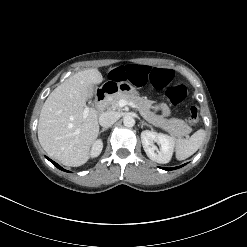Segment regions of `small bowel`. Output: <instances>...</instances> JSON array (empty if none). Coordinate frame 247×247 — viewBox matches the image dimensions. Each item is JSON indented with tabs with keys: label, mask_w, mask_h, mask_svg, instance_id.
Listing matches in <instances>:
<instances>
[{
	"label": "small bowel",
	"mask_w": 247,
	"mask_h": 247,
	"mask_svg": "<svg viewBox=\"0 0 247 247\" xmlns=\"http://www.w3.org/2000/svg\"><path fill=\"white\" fill-rule=\"evenodd\" d=\"M160 108H161L164 115L169 114V108L166 105L163 104L160 106Z\"/></svg>",
	"instance_id": "1"
}]
</instances>
